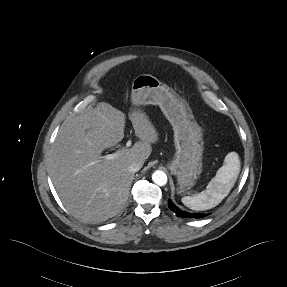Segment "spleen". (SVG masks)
<instances>
[{"instance_id":"1","label":"spleen","mask_w":287,"mask_h":287,"mask_svg":"<svg viewBox=\"0 0 287 287\" xmlns=\"http://www.w3.org/2000/svg\"><path fill=\"white\" fill-rule=\"evenodd\" d=\"M240 172V160L236 152H230L216 176L208 183L206 190L194 196H185L182 203L196 211L208 210L217 206L234 187Z\"/></svg>"}]
</instances>
